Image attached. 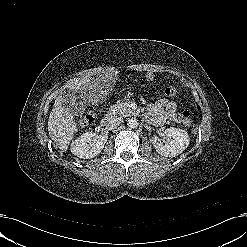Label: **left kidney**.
Here are the masks:
<instances>
[{
  "label": "left kidney",
  "mask_w": 247,
  "mask_h": 247,
  "mask_svg": "<svg viewBox=\"0 0 247 247\" xmlns=\"http://www.w3.org/2000/svg\"><path fill=\"white\" fill-rule=\"evenodd\" d=\"M188 133L180 128L170 127L164 131L163 140L157 137L151 140L155 150L162 156L175 157L189 145Z\"/></svg>",
  "instance_id": "left-kidney-1"
}]
</instances>
